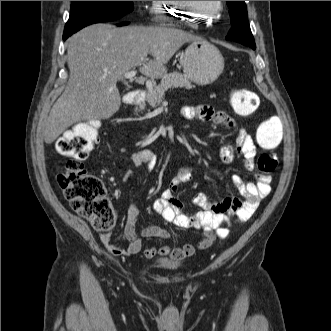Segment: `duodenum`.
I'll return each instance as SVG.
<instances>
[{
  "label": "duodenum",
  "instance_id": "410a0bca",
  "mask_svg": "<svg viewBox=\"0 0 331 331\" xmlns=\"http://www.w3.org/2000/svg\"><path fill=\"white\" fill-rule=\"evenodd\" d=\"M127 96H128L129 105L131 106L141 104L144 100L143 93L140 90L130 92Z\"/></svg>",
  "mask_w": 331,
  "mask_h": 331
}]
</instances>
